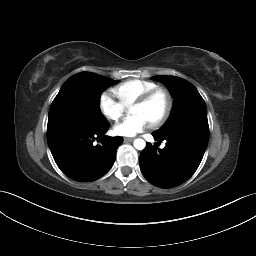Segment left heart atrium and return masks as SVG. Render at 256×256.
Wrapping results in <instances>:
<instances>
[{"label":"left heart atrium","mask_w":256,"mask_h":256,"mask_svg":"<svg viewBox=\"0 0 256 256\" xmlns=\"http://www.w3.org/2000/svg\"><path fill=\"white\" fill-rule=\"evenodd\" d=\"M150 122L143 115L126 118L114 126V133L119 136L131 137L147 129Z\"/></svg>","instance_id":"39dd6f15"}]
</instances>
